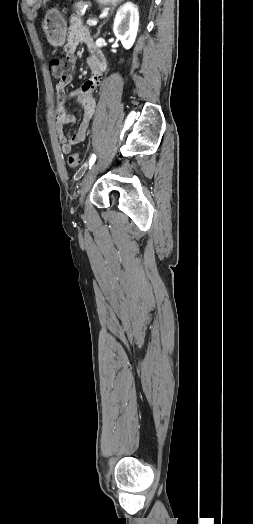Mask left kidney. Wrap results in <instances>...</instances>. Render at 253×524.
Masks as SVG:
<instances>
[{
	"label": "left kidney",
	"instance_id": "1",
	"mask_svg": "<svg viewBox=\"0 0 253 524\" xmlns=\"http://www.w3.org/2000/svg\"><path fill=\"white\" fill-rule=\"evenodd\" d=\"M138 27V8L132 2H127L118 9L113 25V32L125 49L133 46Z\"/></svg>",
	"mask_w": 253,
	"mask_h": 524
}]
</instances>
